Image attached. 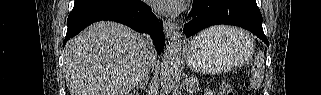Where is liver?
<instances>
[{
	"label": "liver",
	"instance_id": "1",
	"mask_svg": "<svg viewBox=\"0 0 321 95\" xmlns=\"http://www.w3.org/2000/svg\"><path fill=\"white\" fill-rule=\"evenodd\" d=\"M154 49L127 26L101 21L70 39L64 75L70 95H128L141 82Z\"/></svg>",
	"mask_w": 321,
	"mask_h": 95
}]
</instances>
